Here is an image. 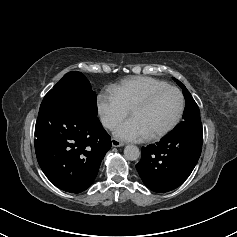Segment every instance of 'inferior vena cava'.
<instances>
[{"label":"inferior vena cava","instance_id":"inferior-vena-cava-1","mask_svg":"<svg viewBox=\"0 0 237 237\" xmlns=\"http://www.w3.org/2000/svg\"><path fill=\"white\" fill-rule=\"evenodd\" d=\"M102 124L107 128H112L115 126V121L110 118H103Z\"/></svg>","mask_w":237,"mask_h":237}]
</instances>
